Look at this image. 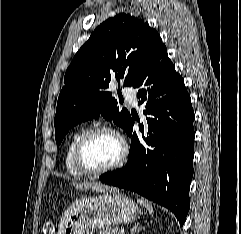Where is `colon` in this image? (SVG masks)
<instances>
[{"instance_id":"5ec220e1","label":"colon","mask_w":241,"mask_h":234,"mask_svg":"<svg viewBox=\"0 0 241 234\" xmlns=\"http://www.w3.org/2000/svg\"><path fill=\"white\" fill-rule=\"evenodd\" d=\"M53 231V227L50 223H47L45 226H44V232L46 234H51Z\"/></svg>"}]
</instances>
